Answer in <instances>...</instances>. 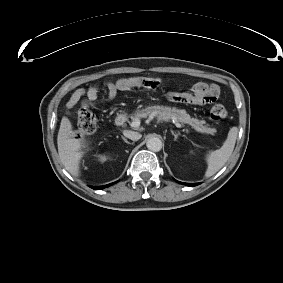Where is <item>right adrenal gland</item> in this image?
I'll return each instance as SVG.
<instances>
[{"label":"right adrenal gland","instance_id":"1","mask_svg":"<svg viewBox=\"0 0 283 283\" xmlns=\"http://www.w3.org/2000/svg\"><path fill=\"white\" fill-rule=\"evenodd\" d=\"M122 139H123L124 142H126L127 144H132V143L128 142V140H127L125 137H123V136H122Z\"/></svg>","mask_w":283,"mask_h":283}]
</instances>
